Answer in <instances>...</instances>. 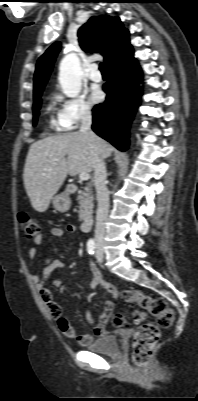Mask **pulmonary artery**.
<instances>
[{
	"label": "pulmonary artery",
	"mask_w": 198,
	"mask_h": 401,
	"mask_svg": "<svg viewBox=\"0 0 198 401\" xmlns=\"http://www.w3.org/2000/svg\"><path fill=\"white\" fill-rule=\"evenodd\" d=\"M89 78L92 82L98 83L102 81V74L99 71L98 64H92L90 67V75Z\"/></svg>",
	"instance_id": "obj_1"
}]
</instances>
